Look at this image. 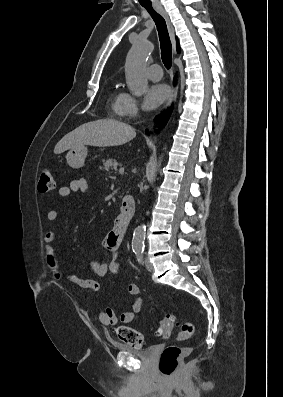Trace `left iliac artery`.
<instances>
[{"mask_svg":"<svg viewBox=\"0 0 283 397\" xmlns=\"http://www.w3.org/2000/svg\"><path fill=\"white\" fill-rule=\"evenodd\" d=\"M137 260L140 264H143V252H136Z\"/></svg>","mask_w":283,"mask_h":397,"instance_id":"44dca946","label":"left iliac artery"}]
</instances>
